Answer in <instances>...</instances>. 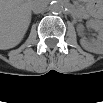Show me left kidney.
Here are the masks:
<instances>
[{"instance_id": "5707ae66", "label": "left kidney", "mask_w": 103, "mask_h": 103, "mask_svg": "<svg viewBox=\"0 0 103 103\" xmlns=\"http://www.w3.org/2000/svg\"><path fill=\"white\" fill-rule=\"evenodd\" d=\"M87 26L93 28L97 33V39H92L90 41L85 38L80 39L81 46L93 53H99L103 50V23L99 20H89Z\"/></svg>"}]
</instances>
